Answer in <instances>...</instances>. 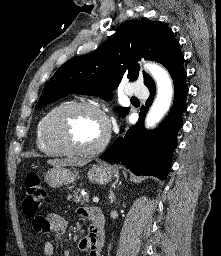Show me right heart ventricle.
Listing matches in <instances>:
<instances>
[{
    "label": "right heart ventricle",
    "instance_id": "right-heart-ventricle-1",
    "mask_svg": "<svg viewBox=\"0 0 221 256\" xmlns=\"http://www.w3.org/2000/svg\"><path fill=\"white\" fill-rule=\"evenodd\" d=\"M58 106L52 107L49 109L39 120L37 126H36V132H35V143L38 148V150L48 156H58L61 154H64V152L51 144H49L45 137H44V126H45V121L49 114Z\"/></svg>",
    "mask_w": 221,
    "mask_h": 256
}]
</instances>
